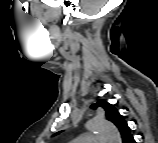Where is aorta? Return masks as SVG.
<instances>
[{
    "instance_id": "aorta-1",
    "label": "aorta",
    "mask_w": 158,
    "mask_h": 143,
    "mask_svg": "<svg viewBox=\"0 0 158 143\" xmlns=\"http://www.w3.org/2000/svg\"><path fill=\"white\" fill-rule=\"evenodd\" d=\"M86 128L91 132L103 135L108 143L122 142L118 129L104 118L95 117L89 120L86 124Z\"/></svg>"
}]
</instances>
